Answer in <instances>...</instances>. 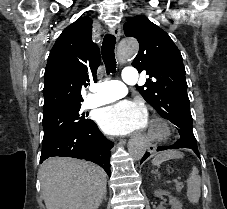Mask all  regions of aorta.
<instances>
[{"label":"aorta","instance_id":"obj_1","mask_svg":"<svg viewBox=\"0 0 227 209\" xmlns=\"http://www.w3.org/2000/svg\"><path fill=\"white\" fill-rule=\"evenodd\" d=\"M139 44L134 38L124 39L120 42L118 48V59L120 62H125L137 54ZM129 153L135 160H140L145 153V145L143 141L132 142L129 146Z\"/></svg>","mask_w":227,"mask_h":209}]
</instances>
